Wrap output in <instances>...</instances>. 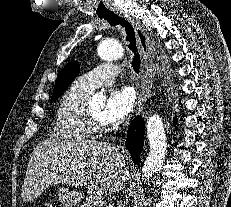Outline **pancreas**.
<instances>
[{
  "instance_id": "obj_1",
  "label": "pancreas",
  "mask_w": 231,
  "mask_h": 207,
  "mask_svg": "<svg viewBox=\"0 0 231 207\" xmlns=\"http://www.w3.org/2000/svg\"><path fill=\"white\" fill-rule=\"evenodd\" d=\"M104 202L101 203L96 199V196H91L86 201L81 203V207H103Z\"/></svg>"
}]
</instances>
